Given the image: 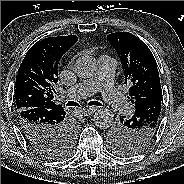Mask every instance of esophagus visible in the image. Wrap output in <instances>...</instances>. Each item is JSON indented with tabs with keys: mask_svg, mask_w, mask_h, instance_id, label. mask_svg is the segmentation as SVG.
Instances as JSON below:
<instances>
[{
	"mask_svg": "<svg viewBox=\"0 0 184 184\" xmlns=\"http://www.w3.org/2000/svg\"><path fill=\"white\" fill-rule=\"evenodd\" d=\"M98 108L97 107H87V108H82L80 110V114L82 115H90L93 114Z\"/></svg>",
	"mask_w": 184,
	"mask_h": 184,
	"instance_id": "34e87169",
	"label": "esophagus"
}]
</instances>
